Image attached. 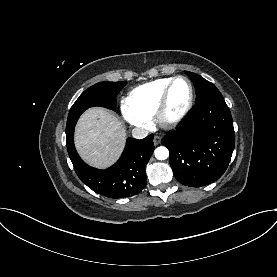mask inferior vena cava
<instances>
[{"mask_svg":"<svg viewBox=\"0 0 277 277\" xmlns=\"http://www.w3.org/2000/svg\"><path fill=\"white\" fill-rule=\"evenodd\" d=\"M149 134L148 130L144 128H134L132 130V136L136 139H143L147 137Z\"/></svg>","mask_w":277,"mask_h":277,"instance_id":"1","label":"inferior vena cava"}]
</instances>
